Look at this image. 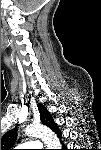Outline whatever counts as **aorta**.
<instances>
[{"label":"aorta","mask_w":101,"mask_h":150,"mask_svg":"<svg viewBox=\"0 0 101 150\" xmlns=\"http://www.w3.org/2000/svg\"><path fill=\"white\" fill-rule=\"evenodd\" d=\"M27 136L39 137L49 149H57L60 147V142L57 136L46 126L41 124H32L25 129Z\"/></svg>","instance_id":"762f6f07"}]
</instances>
